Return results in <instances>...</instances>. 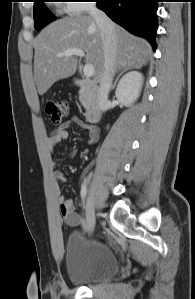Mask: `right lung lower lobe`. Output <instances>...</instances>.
<instances>
[{"label":"right lung lower lobe","instance_id":"obj_1","mask_svg":"<svg viewBox=\"0 0 195 299\" xmlns=\"http://www.w3.org/2000/svg\"><path fill=\"white\" fill-rule=\"evenodd\" d=\"M97 7L134 35L147 39L156 49L158 0H96Z\"/></svg>","mask_w":195,"mask_h":299}]
</instances>
